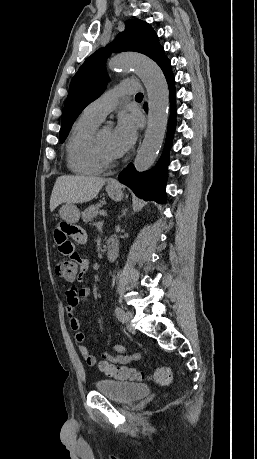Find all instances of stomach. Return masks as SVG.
Wrapping results in <instances>:
<instances>
[{"label":"stomach","mask_w":257,"mask_h":459,"mask_svg":"<svg viewBox=\"0 0 257 459\" xmlns=\"http://www.w3.org/2000/svg\"><path fill=\"white\" fill-rule=\"evenodd\" d=\"M106 191L110 198L115 201L122 199V191L118 187L107 186ZM59 214L67 223H77L80 219L79 209L72 203H65L59 210Z\"/></svg>","instance_id":"1"}]
</instances>
